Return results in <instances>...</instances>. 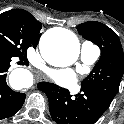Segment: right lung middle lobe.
Wrapping results in <instances>:
<instances>
[{
  "instance_id": "right-lung-middle-lobe-1",
  "label": "right lung middle lobe",
  "mask_w": 124,
  "mask_h": 124,
  "mask_svg": "<svg viewBox=\"0 0 124 124\" xmlns=\"http://www.w3.org/2000/svg\"><path fill=\"white\" fill-rule=\"evenodd\" d=\"M31 46L36 47V42L28 33L15 20L0 14V54L22 59Z\"/></svg>"
}]
</instances>
